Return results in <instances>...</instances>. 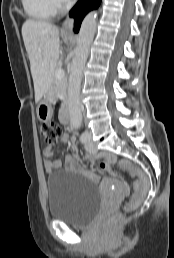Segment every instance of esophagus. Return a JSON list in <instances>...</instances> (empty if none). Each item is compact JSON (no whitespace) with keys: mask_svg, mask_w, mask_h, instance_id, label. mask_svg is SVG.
Here are the masks:
<instances>
[{"mask_svg":"<svg viewBox=\"0 0 174 258\" xmlns=\"http://www.w3.org/2000/svg\"><path fill=\"white\" fill-rule=\"evenodd\" d=\"M73 27V20L71 18H67L63 23V30L64 31H71Z\"/></svg>","mask_w":174,"mask_h":258,"instance_id":"esophagus-1","label":"esophagus"}]
</instances>
